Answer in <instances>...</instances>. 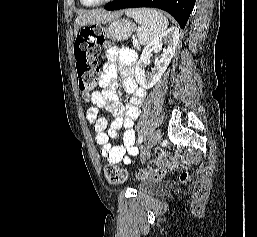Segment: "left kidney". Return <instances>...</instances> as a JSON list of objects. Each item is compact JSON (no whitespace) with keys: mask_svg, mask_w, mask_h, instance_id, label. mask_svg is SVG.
<instances>
[{"mask_svg":"<svg viewBox=\"0 0 257 237\" xmlns=\"http://www.w3.org/2000/svg\"><path fill=\"white\" fill-rule=\"evenodd\" d=\"M178 42L179 30L177 27H171L144 48L135 67V78L141 87L149 89L160 80L171 62ZM158 50H162L161 56L151 68V72L146 74L145 67L150 64L151 53Z\"/></svg>","mask_w":257,"mask_h":237,"instance_id":"5707ae66","label":"left kidney"}]
</instances>
